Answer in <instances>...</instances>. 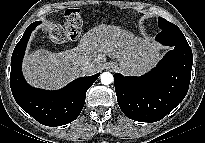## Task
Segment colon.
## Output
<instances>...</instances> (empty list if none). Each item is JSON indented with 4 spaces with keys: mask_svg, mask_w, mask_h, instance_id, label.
Returning a JSON list of instances; mask_svg holds the SVG:
<instances>
[{
    "mask_svg": "<svg viewBox=\"0 0 205 143\" xmlns=\"http://www.w3.org/2000/svg\"><path fill=\"white\" fill-rule=\"evenodd\" d=\"M64 24L49 22L45 26V32L49 38L58 44L75 41L81 31L82 17L79 8H67L63 12Z\"/></svg>",
    "mask_w": 205,
    "mask_h": 143,
    "instance_id": "5ec220e1",
    "label": "colon"
}]
</instances>
